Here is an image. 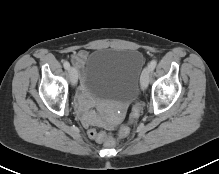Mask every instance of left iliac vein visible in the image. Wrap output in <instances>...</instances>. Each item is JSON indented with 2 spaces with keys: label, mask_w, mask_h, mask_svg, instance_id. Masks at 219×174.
Wrapping results in <instances>:
<instances>
[{
  "label": "left iliac vein",
  "mask_w": 219,
  "mask_h": 174,
  "mask_svg": "<svg viewBox=\"0 0 219 174\" xmlns=\"http://www.w3.org/2000/svg\"><path fill=\"white\" fill-rule=\"evenodd\" d=\"M150 75H151V70L148 66L143 70L140 78V85L143 90L146 89L148 86Z\"/></svg>",
  "instance_id": "left-iliac-vein-1"
}]
</instances>
